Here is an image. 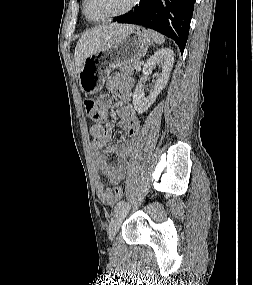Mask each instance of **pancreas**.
I'll return each mask as SVG.
<instances>
[{
  "instance_id": "cf45deb5",
  "label": "pancreas",
  "mask_w": 253,
  "mask_h": 285,
  "mask_svg": "<svg viewBox=\"0 0 253 285\" xmlns=\"http://www.w3.org/2000/svg\"><path fill=\"white\" fill-rule=\"evenodd\" d=\"M138 64V62H134L129 65L121 66L119 67V70L125 73L126 75H132Z\"/></svg>"
}]
</instances>
